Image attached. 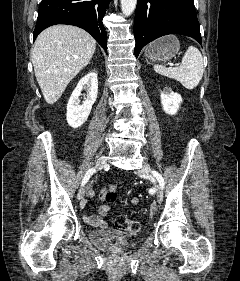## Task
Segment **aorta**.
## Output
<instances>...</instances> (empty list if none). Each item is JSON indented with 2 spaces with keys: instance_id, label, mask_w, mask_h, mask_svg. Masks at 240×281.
Listing matches in <instances>:
<instances>
[{
  "instance_id": "aorta-1",
  "label": "aorta",
  "mask_w": 240,
  "mask_h": 281,
  "mask_svg": "<svg viewBox=\"0 0 240 281\" xmlns=\"http://www.w3.org/2000/svg\"><path fill=\"white\" fill-rule=\"evenodd\" d=\"M137 0H121L123 15L130 16L136 8Z\"/></svg>"
}]
</instances>
